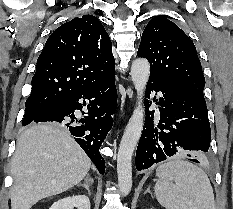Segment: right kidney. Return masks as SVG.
I'll list each match as a JSON object with an SVG mask.
<instances>
[{
    "instance_id": "right-kidney-1",
    "label": "right kidney",
    "mask_w": 233,
    "mask_h": 209,
    "mask_svg": "<svg viewBox=\"0 0 233 209\" xmlns=\"http://www.w3.org/2000/svg\"><path fill=\"white\" fill-rule=\"evenodd\" d=\"M90 209V200L85 195L63 198L55 202L50 209Z\"/></svg>"
}]
</instances>
